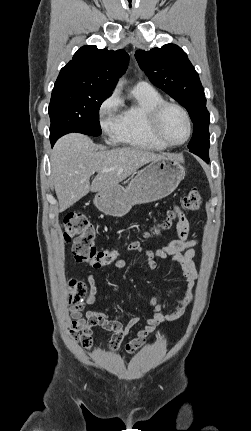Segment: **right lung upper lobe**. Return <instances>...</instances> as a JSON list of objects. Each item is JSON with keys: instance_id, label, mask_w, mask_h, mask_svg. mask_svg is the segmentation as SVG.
<instances>
[{"instance_id": "obj_1", "label": "right lung upper lobe", "mask_w": 251, "mask_h": 431, "mask_svg": "<svg viewBox=\"0 0 251 431\" xmlns=\"http://www.w3.org/2000/svg\"><path fill=\"white\" fill-rule=\"evenodd\" d=\"M128 61L129 56L123 49L108 51L86 45L60 70L55 83L71 82L112 93Z\"/></svg>"}]
</instances>
